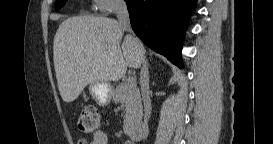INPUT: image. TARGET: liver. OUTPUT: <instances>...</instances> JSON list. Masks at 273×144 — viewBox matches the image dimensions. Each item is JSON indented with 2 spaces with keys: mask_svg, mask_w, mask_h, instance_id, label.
<instances>
[{
  "mask_svg": "<svg viewBox=\"0 0 273 144\" xmlns=\"http://www.w3.org/2000/svg\"><path fill=\"white\" fill-rule=\"evenodd\" d=\"M115 19L77 16L63 21L53 42V60L60 95L75 101L83 89L96 82L117 81L127 67L139 68L133 37L124 35Z\"/></svg>",
  "mask_w": 273,
  "mask_h": 144,
  "instance_id": "6515ba94",
  "label": "liver"
}]
</instances>
